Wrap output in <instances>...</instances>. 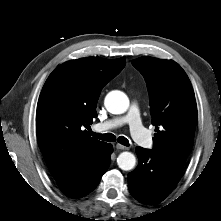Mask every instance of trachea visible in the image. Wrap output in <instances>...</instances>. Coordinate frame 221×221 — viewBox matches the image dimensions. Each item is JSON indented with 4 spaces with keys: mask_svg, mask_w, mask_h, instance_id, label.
I'll return each mask as SVG.
<instances>
[{
    "mask_svg": "<svg viewBox=\"0 0 221 221\" xmlns=\"http://www.w3.org/2000/svg\"><path fill=\"white\" fill-rule=\"evenodd\" d=\"M93 136L103 141H116V136L113 135L112 133H105V134L93 133ZM117 141L120 144L127 146V147L130 145L128 139L125 138L124 136L118 137Z\"/></svg>",
    "mask_w": 221,
    "mask_h": 221,
    "instance_id": "trachea-1",
    "label": "trachea"
}]
</instances>
